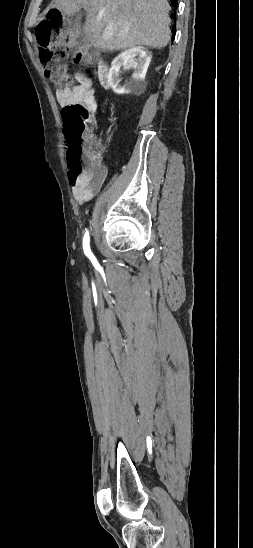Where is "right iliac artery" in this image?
<instances>
[{
    "instance_id": "82829eb1",
    "label": "right iliac artery",
    "mask_w": 253,
    "mask_h": 548,
    "mask_svg": "<svg viewBox=\"0 0 253 548\" xmlns=\"http://www.w3.org/2000/svg\"><path fill=\"white\" fill-rule=\"evenodd\" d=\"M89 241H90L89 232L86 231V233L84 235V238H83V249H84L85 255L87 257H89L91 260H93L94 256H93V254L90 250Z\"/></svg>"
}]
</instances>
